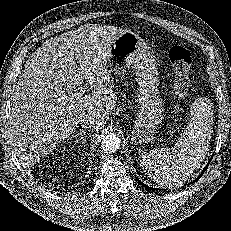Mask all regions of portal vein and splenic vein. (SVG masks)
<instances>
[{"label":"portal vein and splenic vein","instance_id":"portal-vein-and-splenic-vein-1","mask_svg":"<svg viewBox=\"0 0 231 231\" xmlns=\"http://www.w3.org/2000/svg\"><path fill=\"white\" fill-rule=\"evenodd\" d=\"M84 87H86V86H84ZM85 89H86V88H82V91H83V92H85ZM63 98H66V99H67V98H68V96H67V95H65V94H63Z\"/></svg>","mask_w":231,"mask_h":231}]
</instances>
